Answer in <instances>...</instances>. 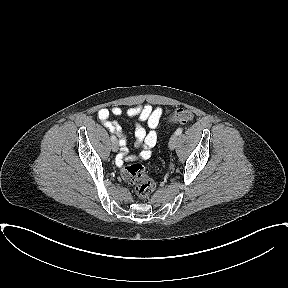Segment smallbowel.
I'll use <instances>...</instances> for the list:
<instances>
[{
    "label": "small bowel",
    "mask_w": 288,
    "mask_h": 288,
    "mask_svg": "<svg viewBox=\"0 0 288 288\" xmlns=\"http://www.w3.org/2000/svg\"><path fill=\"white\" fill-rule=\"evenodd\" d=\"M125 114L131 118H137L138 123L135 126V146L141 149L140 157L148 159L152 156L153 148L157 144L156 128L162 118L164 111L157 107L153 108L151 105H139L128 108L125 112L122 108L114 106L111 108H102L98 111V118L101 123L115 133L120 139L121 154L117 158V164L121 166L124 161H132L134 156H128V149L126 148L127 137L122 127L116 120H112L111 116H121ZM141 122H146L148 130L145 129Z\"/></svg>",
    "instance_id": "small-bowel-1"
}]
</instances>
